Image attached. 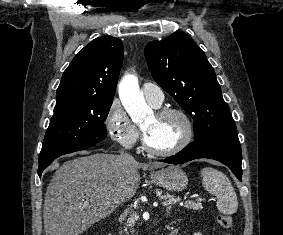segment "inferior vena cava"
Masks as SVG:
<instances>
[{"label": "inferior vena cava", "instance_id": "obj_1", "mask_svg": "<svg viewBox=\"0 0 283 235\" xmlns=\"http://www.w3.org/2000/svg\"><path fill=\"white\" fill-rule=\"evenodd\" d=\"M120 155L119 158L123 161H129V160H133V156L130 155L129 153L124 152V150L119 151Z\"/></svg>", "mask_w": 283, "mask_h": 235}]
</instances>
